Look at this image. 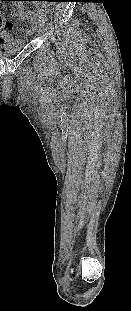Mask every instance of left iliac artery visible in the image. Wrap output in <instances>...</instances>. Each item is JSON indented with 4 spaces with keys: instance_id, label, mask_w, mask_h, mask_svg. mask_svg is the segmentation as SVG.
I'll return each mask as SVG.
<instances>
[{
    "instance_id": "1",
    "label": "left iliac artery",
    "mask_w": 131,
    "mask_h": 311,
    "mask_svg": "<svg viewBox=\"0 0 131 311\" xmlns=\"http://www.w3.org/2000/svg\"><path fill=\"white\" fill-rule=\"evenodd\" d=\"M39 21L44 24L47 21L46 16L41 15V17L39 18Z\"/></svg>"
}]
</instances>
